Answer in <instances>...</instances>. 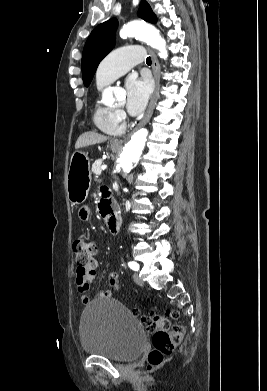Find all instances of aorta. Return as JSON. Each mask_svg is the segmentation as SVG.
Returning a JSON list of instances; mask_svg holds the SVG:
<instances>
[{
	"label": "aorta",
	"mask_w": 267,
	"mask_h": 391,
	"mask_svg": "<svg viewBox=\"0 0 267 391\" xmlns=\"http://www.w3.org/2000/svg\"><path fill=\"white\" fill-rule=\"evenodd\" d=\"M120 37L123 39L136 37L146 42L152 48L157 49L163 59L168 57L166 42L160 36L159 30L142 21H132L124 25L120 30ZM113 98L114 89L111 87L106 88L102 93V99L112 100ZM147 136L148 131L146 129L138 130L132 135L130 141L122 150L119 157V166L123 174H128L138 162L145 147Z\"/></svg>",
	"instance_id": "obj_1"
}]
</instances>
